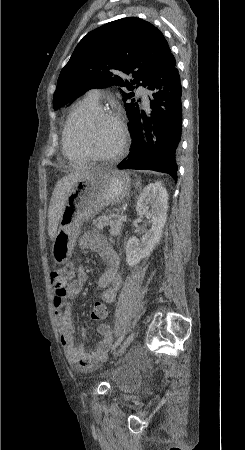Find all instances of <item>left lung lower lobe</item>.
Listing matches in <instances>:
<instances>
[{
    "instance_id": "1",
    "label": "left lung lower lobe",
    "mask_w": 245,
    "mask_h": 450,
    "mask_svg": "<svg viewBox=\"0 0 245 450\" xmlns=\"http://www.w3.org/2000/svg\"><path fill=\"white\" fill-rule=\"evenodd\" d=\"M150 108L146 115L140 110L132 118L129 132L131 151L117 167L168 173L177 180L176 153L181 137V83L172 55L148 84Z\"/></svg>"
}]
</instances>
